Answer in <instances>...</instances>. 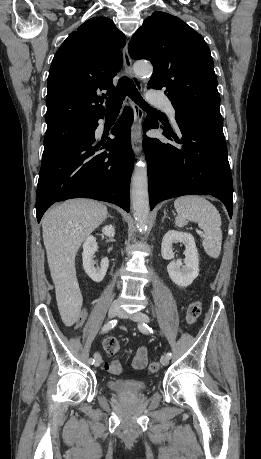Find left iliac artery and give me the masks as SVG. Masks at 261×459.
Wrapping results in <instances>:
<instances>
[{"mask_svg": "<svg viewBox=\"0 0 261 459\" xmlns=\"http://www.w3.org/2000/svg\"><path fill=\"white\" fill-rule=\"evenodd\" d=\"M138 327H139V330H140L142 333H145V334L153 333L152 328H150V327H149L147 324H145V323H140V324L138 325ZM166 355H167L169 358L171 357V353H169V352H168Z\"/></svg>", "mask_w": 261, "mask_h": 459, "instance_id": "44dca946", "label": "left iliac artery"}]
</instances>
